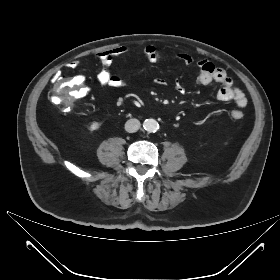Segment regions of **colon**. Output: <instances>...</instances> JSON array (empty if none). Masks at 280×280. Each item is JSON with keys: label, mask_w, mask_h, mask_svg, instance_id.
Instances as JSON below:
<instances>
[{"label": "colon", "mask_w": 280, "mask_h": 280, "mask_svg": "<svg viewBox=\"0 0 280 280\" xmlns=\"http://www.w3.org/2000/svg\"><path fill=\"white\" fill-rule=\"evenodd\" d=\"M88 93L89 88L84 84V80L81 77L60 76L55 81L49 100L54 104H58L63 112L70 113L74 110L78 97L84 98ZM235 118L240 119L242 115L236 113Z\"/></svg>", "instance_id": "obj_1"}]
</instances>
